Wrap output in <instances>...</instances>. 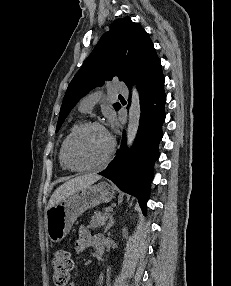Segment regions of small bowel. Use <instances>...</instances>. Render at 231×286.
I'll return each instance as SVG.
<instances>
[{"label": "small bowel", "mask_w": 231, "mask_h": 286, "mask_svg": "<svg viewBox=\"0 0 231 286\" xmlns=\"http://www.w3.org/2000/svg\"><path fill=\"white\" fill-rule=\"evenodd\" d=\"M103 237L101 235H93L85 226L80 227L79 235L75 243V249L78 253L84 252L90 247H97V243ZM69 286H76L74 283Z\"/></svg>", "instance_id": "1"}]
</instances>
